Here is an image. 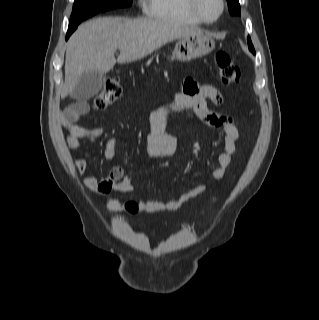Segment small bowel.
<instances>
[{"instance_id":"c3829d8e","label":"small bowel","mask_w":319,"mask_h":320,"mask_svg":"<svg viewBox=\"0 0 319 320\" xmlns=\"http://www.w3.org/2000/svg\"><path fill=\"white\" fill-rule=\"evenodd\" d=\"M208 101L217 106L223 104V96L212 85H198L192 79H186L183 91L175 94L170 102L158 107L151 116V128L146 135L147 147L150 154L157 158H167L174 155L177 149L175 138L162 130L164 118L169 114L179 113L183 110H192L197 118L207 126L220 129L221 141L224 150L216 156L218 166L212 171V179L221 181L226 170L231 164V159L236 152L239 131L228 115L221 114L208 107ZM89 111L86 102H78L60 118V125L66 132L65 141L68 148L77 150L81 147L83 140H94L102 137L104 132L97 129L92 132L83 130L78 121ZM116 156V137H110L104 147L103 157L106 161ZM77 172L82 175L87 169V161L78 157L75 162ZM84 186L90 191L105 198L108 207H115L118 201L110 197L111 192L124 194L134 193V185L130 177L122 174L118 169L107 170L104 176L90 174L84 178ZM208 188L207 183H199L192 188L182 192L178 197L168 200L145 199L139 202L143 212L154 213L160 211H176L187 201L197 197Z\"/></svg>"}]
</instances>
